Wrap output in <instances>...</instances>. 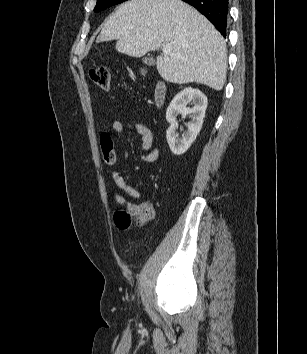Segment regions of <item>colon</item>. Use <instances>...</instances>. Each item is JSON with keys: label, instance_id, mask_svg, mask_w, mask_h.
<instances>
[{"label": "colon", "instance_id": "obj_1", "mask_svg": "<svg viewBox=\"0 0 307 354\" xmlns=\"http://www.w3.org/2000/svg\"><path fill=\"white\" fill-rule=\"evenodd\" d=\"M91 80L101 89L108 90L111 83L110 70L105 66L96 67L89 72ZM152 216L149 203L128 204L115 214V222L120 229L139 227Z\"/></svg>", "mask_w": 307, "mask_h": 354}]
</instances>
